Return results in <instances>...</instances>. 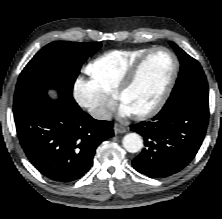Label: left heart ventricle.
Listing matches in <instances>:
<instances>
[{
	"label": "left heart ventricle",
	"instance_id": "left-heart-ventricle-1",
	"mask_svg": "<svg viewBox=\"0 0 222 219\" xmlns=\"http://www.w3.org/2000/svg\"><path fill=\"white\" fill-rule=\"evenodd\" d=\"M172 57L167 52H156L143 63L132 87L123 95L121 103L133 114L152 107L160 98L170 77Z\"/></svg>",
	"mask_w": 222,
	"mask_h": 219
}]
</instances>
